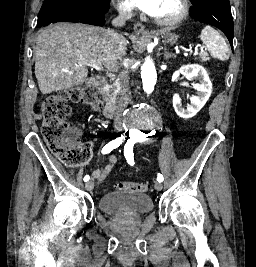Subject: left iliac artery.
Here are the masks:
<instances>
[{
    "label": "left iliac artery",
    "instance_id": "1",
    "mask_svg": "<svg viewBox=\"0 0 256 267\" xmlns=\"http://www.w3.org/2000/svg\"><path fill=\"white\" fill-rule=\"evenodd\" d=\"M133 146L134 143L130 140L127 141V143L124 146V156L127 160V162L133 166L134 165V154H133ZM164 180L162 174L158 173L157 181L162 182Z\"/></svg>",
    "mask_w": 256,
    "mask_h": 267
}]
</instances>
